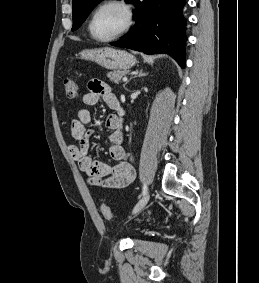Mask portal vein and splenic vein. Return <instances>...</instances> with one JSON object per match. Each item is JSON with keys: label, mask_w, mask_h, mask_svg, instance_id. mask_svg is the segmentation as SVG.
<instances>
[{"label": "portal vein and splenic vein", "mask_w": 259, "mask_h": 283, "mask_svg": "<svg viewBox=\"0 0 259 283\" xmlns=\"http://www.w3.org/2000/svg\"><path fill=\"white\" fill-rule=\"evenodd\" d=\"M123 81L126 82L127 81V77H123Z\"/></svg>", "instance_id": "18ae733b"}]
</instances>
